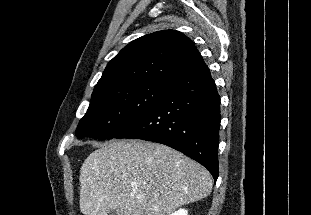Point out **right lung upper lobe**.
I'll return each instance as SVG.
<instances>
[{
    "mask_svg": "<svg viewBox=\"0 0 311 215\" xmlns=\"http://www.w3.org/2000/svg\"><path fill=\"white\" fill-rule=\"evenodd\" d=\"M205 65L186 35L176 30L157 31L125 46L108 63L93 93L126 84H170Z\"/></svg>",
    "mask_w": 311,
    "mask_h": 215,
    "instance_id": "1",
    "label": "right lung upper lobe"
}]
</instances>
